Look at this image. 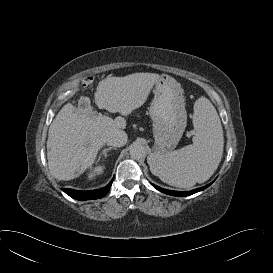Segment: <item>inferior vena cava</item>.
<instances>
[{
	"instance_id": "1",
	"label": "inferior vena cava",
	"mask_w": 273,
	"mask_h": 273,
	"mask_svg": "<svg viewBox=\"0 0 273 273\" xmlns=\"http://www.w3.org/2000/svg\"><path fill=\"white\" fill-rule=\"evenodd\" d=\"M127 134L125 131L116 129L107 136V144L114 147H122L127 143Z\"/></svg>"
}]
</instances>
